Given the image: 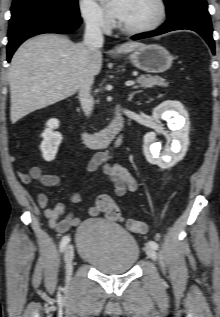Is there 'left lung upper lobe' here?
Listing matches in <instances>:
<instances>
[{
	"mask_svg": "<svg viewBox=\"0 0 220 317\" xmlns=\"http://www.w3.org/2000/svg\"><path fill=\"white\" fill-rule=\"evenodd\" d=\"M183 0H164L166 7H167V13L174 12L180 5Z\"/></svg>",
	"mask_w": 220,
	"mask_h": 317,
	"instance_id": "obj_1",
	"label": "left lung upper lobe"
}]
</instances>
